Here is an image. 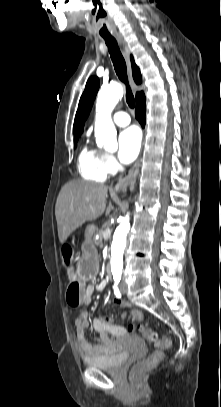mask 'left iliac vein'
I'll return each mask as SVG.
<instances>
[{
  "mask_svg": "<svg viewBox=\"0 0 221 407\" xmlns=\"http://www.w3.org/2000/svg\"><path fill=\"white\" fill-rule=\"evenodd\" d=\"M120 290H121V293H122V294H125V293L127 292V285H126V283H122V284L120 285Z\"/></svg>",
  "mask_w": 221,
  "mask_h": 407,
  "instance_id": "left-iliac-vein-1",
  "label": "left iliac vein"
}]
</instances>
